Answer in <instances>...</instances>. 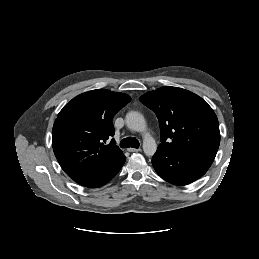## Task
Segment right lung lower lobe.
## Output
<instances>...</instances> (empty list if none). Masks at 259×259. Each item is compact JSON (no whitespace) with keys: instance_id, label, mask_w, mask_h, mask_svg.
<instances>
[{"instance_id":"1","label":"right lung lower lobe","mask_w":259,"mask_h":259,"mask_svg":"<svg viewBox=\"0 0 259 259\" xmlns=\"http://www.w3.org/2000/svg\"><path fill=\"white\" fill-rule=\"evenodd\" d=\"M126 157L122 154L115 160L110 161L99 169L82 174L69 175L78 184L89 187L97 188L108 183L121 169L125 163Z\"/></svg>"}]
</instances>
